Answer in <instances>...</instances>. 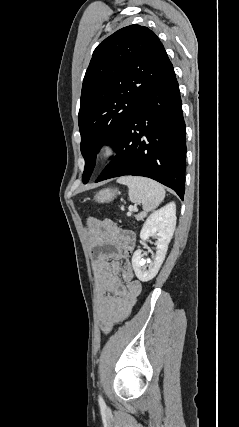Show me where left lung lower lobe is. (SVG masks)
Returning a JSON list of instances; mask_svg holds the SVG:
<instances>
[{
    "instance_id": "0a47b994",
    "label": "left lung lower lobe",
    "mask_w": 239,
    "mask_h": 427,
    "mask_svg": "<svg viewBox=\"0 0 239 427\" xmlns=\"http://www.w3.org/2000/svg\"><path fill=\"white\" fill-rule=\"evenodd\" d=\"M96 182L133 175L172 188L183 200L186 133L179 85L172 68L139 102Z\"/></svg>"
}]
</instances>
